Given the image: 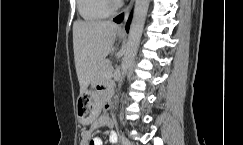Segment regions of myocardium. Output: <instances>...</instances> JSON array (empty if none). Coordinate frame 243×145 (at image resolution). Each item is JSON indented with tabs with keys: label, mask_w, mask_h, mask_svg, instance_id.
Here are the masks:
<instances>
[{
	"label": "myocardium",
	"mask_w": 243,
	"mask_h": 145,
	"mask_svg": "<svg viewBox=\"0 0 243 145\" xmlns=\"http://www.w3.org/2000/svg\"><path fill=\"white\" fill-rule=\"evenodd\" d=\"M105 2L111 12L117 10L121 6L120 0H105Z\"/></svg>",
	"instance_id": "f54148a6"
}]
</instances>
